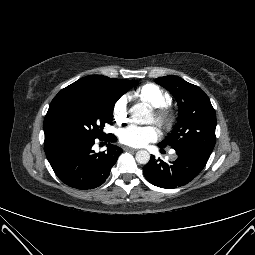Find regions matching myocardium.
I'll return each instance as SVG.
<instances>
[{
    "instance_id": "myocardium-1",
    "label": "myocardium",
    "mask_w": 255,
    "mask_h": 255,
    "mask_svg": "<svg viewBox=\"0 0 255 255\" xmlns=\"http://www.w3.org/2000/svg\"><path fill=\"white\" fill-rule=\"evenodd\" d=\"M153 121L164 129H170L176 121V115L168 105L154 107Z\"/></svg>"
}]
</instances>
